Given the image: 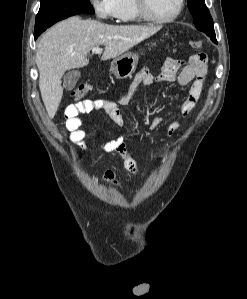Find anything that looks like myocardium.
I'll return each instance as SVG.
<instances>
[{"label": "myocardium", "mask_w": 247, "mask_h": 299, "mask_svg": "<svg viewBox=\"0 0 247 299\" xmlns=\"http://www.w3.org/2000/svg\"><path fill=\"white\" fill-rule=\"evenodd\" d=\"M135 5H136L138 15L140 16L141 19L155 24H166V23L173 22L180 16L184 7V0H178V6L176 11L174 12L173 15L167 18H156L152 16L148 11L146 0H135Z\"/></svg>", "instance_id": "1"}]
</instances>
